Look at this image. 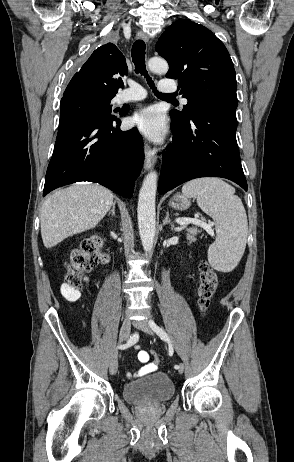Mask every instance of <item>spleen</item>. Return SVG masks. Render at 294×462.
<instances>
[{"instance_id":"3e777b00","label":"spleen","mask_w":294,"mask_h":462,"mask_svg":"<svg viewBox=\"0 0 294 462\" xmlns=\"http://www.w3.org/2000/svg\"><path fill=\"white\" fill-rule=\"evenodd\" d=\"M183 195L195 197L199 207L215 222L216 240L209 246L208 261L217 271H232L244 253L248 222L235 189L222 179H194L182 187Z\"/></svg>"}]
</instances>
